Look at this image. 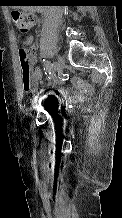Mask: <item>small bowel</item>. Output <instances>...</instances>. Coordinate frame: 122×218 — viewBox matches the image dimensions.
<instances>
[{"instance_id":"obj_1","label":"small bowel","mask_w":122,"mask_h":218,"mask_svg":"<svg viewBox=\"0 0 122 218\" xmlns=\"http://www.w3.org/2000/svg\"><path fill=\"white\" fill-rule=\"evenodd\" d=\"M24 45L27 47H30V52H31V64H35L37 61V55H36V50L34 47V39L32 36H29L25 39L24 41ZM87 87H89L88 85H86ZM45 87L44 85V81H43V74L40 68L38 67H34L32 69V88H31V92L35 95L38 93V91H40V89H43ZM84 92H88L83 90ZM60 94L62 95V97L66 100L72 101L74 100L77 95L74 93H71L69 90H67L66 88H62L60 89ZM36 98V97H35Z\"/></svg>"}]
</instances>
